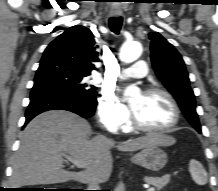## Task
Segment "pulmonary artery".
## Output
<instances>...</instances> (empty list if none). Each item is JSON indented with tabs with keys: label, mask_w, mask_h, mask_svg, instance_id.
Returning a JSON list of instances; mask_svg holds the SVG:
<instances>
[{
	"label": "pulmonary artery",
	"mask_w": 218,
	"mask_h": 191,
	"mask_svg": "<svg viewBox=\"0 0 218 191\" xmlns=\"http://www.w3.org/2000/svg\"><path fill=\"white\" fill-rule=\"evenodd\" d=\"M147 74V64L143 60H139L134 66L122 69L119 72V77L123 79L142 78Z\"/></svg>",
	"instance_id": "1"
}]
</instances>
